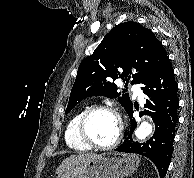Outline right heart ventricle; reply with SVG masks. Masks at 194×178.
Masks as SVG:
<instances>
[{"label": "right heart ventricle", "mask_w": 194, "mask_h": 178, "mask_svg": "<svg viewBox=\"0 0 194 178\" xmlns=\"http://www.w3.org/2000/svg\"><path fill=\"white\" fill-rule=\"evenodd\" d=\"M84 111L85 109H82L75 113L69 120L65 130V142L70 149L75 151H86L90 148L79 139L77 134V124Z\"/></svg>", "instance_id": "obj_1"}]
</instances>
